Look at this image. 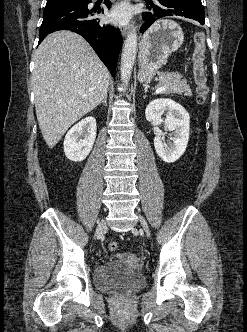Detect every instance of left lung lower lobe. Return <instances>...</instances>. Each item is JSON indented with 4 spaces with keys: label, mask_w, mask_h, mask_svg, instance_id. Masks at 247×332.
Wrapping results in <instances>:
<instances>
[{
    "label": "left lung lower lobe",
    "mask_w": 247,
    "mask_h": 332,
    "mask_svg": "<svg viewBox=\"0 0 247 332\" xmlns=\"http://www.w3.org/2000/svg\"><path fill=\"white\" fill-rule=\"evenodd\" d=\"M146 1L147 11L142 14L145 20L141 31L144 32L155 20L166 16H181L205 24L204 9L201 1L194 0H157Z\"/></svg>",
    "instance_id": "1"
}]
</instances>
